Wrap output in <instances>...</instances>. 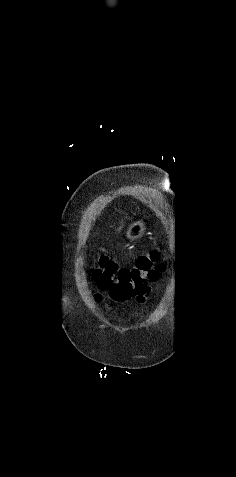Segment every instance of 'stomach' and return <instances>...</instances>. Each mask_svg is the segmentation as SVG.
<instances>
[{"label": "stomach", "instance_id": "1", "mask_svg": "<svg viewBox=\"0 0 236 477\" xmlns=\"http://www.w3.org/2000/svg\"><path fill=\"white\" fill-rule=\"evenodd\" d=\"M145 226L142 222L132 224L126 232V236L130 240H136L143 236Z\"/></svg>", "mask_w": 236, "mask_h": 477}]
</instances>
